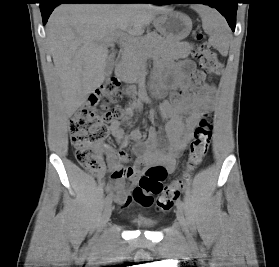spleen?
Wrapping results in <instances>:
<instances>
[{
  "label": "spleen",
  "mask_w": 279,
  "mask_h": 267,
  "mask_svg": "<svg viewBox=\"0 0 279 267\" xmlns=\"http://www.w3.org/2000/svg\"><path fill=\"white\" fill-rule=\"evenodd\" d=\"M193 9L201 17L202 27L209 35L211 45L226 55L231 35L225 19L218 11L205 5H194Z\"/></svg>",
  "instance_id": "3e777b00"
}]
</instances>
